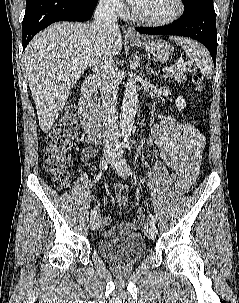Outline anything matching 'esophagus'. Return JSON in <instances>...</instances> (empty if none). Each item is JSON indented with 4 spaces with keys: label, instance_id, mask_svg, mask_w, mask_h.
Wrapping results in <instances>:
<instances>
[{
    "label": "esophagus",
    "instance_id": "34e87169",
    "mask_svg": "<svg viewBox=\"0 0 239 303\" xmlns=\"http://www.w3.org/2000/svg\"><path fill=\"white\" fill-rule=\"evenodd\" d=\"M126 37L131 38V39H139L138 34L132 29H128L125 33Z\"/></svg>",
    "mask_w": 239,
    "mask_h": 303
}]
</instances>
